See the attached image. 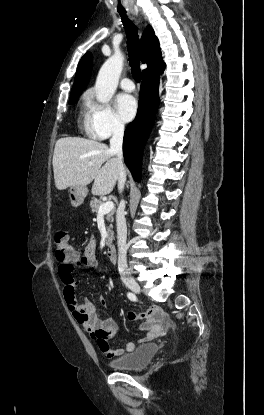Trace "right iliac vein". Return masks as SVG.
<instances>
[{"label": "right iliac vein", "instance_id": "right-iliac-vein-1", "mask_svg": "<svg viewBox=\"0 0 264 415\" xmlns=\"http://www.w3.org/2000/svg\"><path fill=\"white\" fill-rule=\"evenodd\" d=\"M126 286L131 289L134 293L139 294L141 292V288L139 284L135 280H128L125 282Z\"/></svg>", "mask_w": 264, "mask_h": 415}]
</instances>
